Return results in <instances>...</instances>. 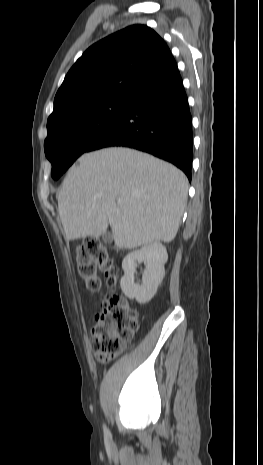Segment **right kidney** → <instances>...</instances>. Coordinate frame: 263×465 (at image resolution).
<instances>
[{
  "label": "right kidney",
  "mask_w": 263,
  "mask_h": 465,
  "mask_svg": "<svg viewBox=\"0 0 263 465\" xmlns=\"http://www.w3.org/2000/svg\"><path fill=\"white\" fill-rule=\"evenodd\" d=\"M167 259L166 247L160 242H154L127 254L122 262L124 276L120 286L123 293L131 299L135 298L138 303L150 301L164 278V264ZM141 263L145 264V270L140 285L135 283L134 273L137 265Z\"/></svg>",
  "instance_id": "right-kidney-1"
}]
</instances>
